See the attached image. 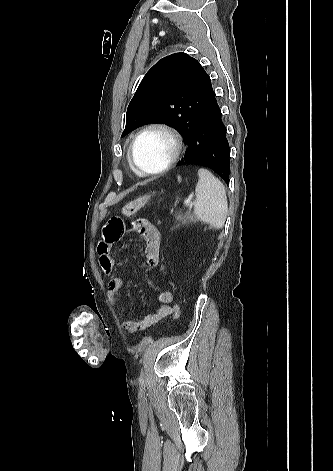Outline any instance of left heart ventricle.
<instances>
[{
    "instance_id": "left-heart-ventricle-1",
    "label": "left heart ventricle",
    "mask_w": 333,
    "mask_h": 471,
    "mask_svg": "<svg viewBox=\"0 0 333 471\" xmlns=\"http://www.w3.org/2000/svg\"><path fill=\"white\" fill-rule=\"evenodd\" d=\"M172 150L170 137L162 131L152 130L139 138L134 149V157L140 167L153 171L167 162Z\"/></svg>"
}]
</instances>
